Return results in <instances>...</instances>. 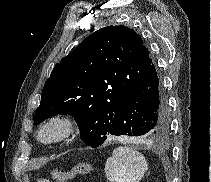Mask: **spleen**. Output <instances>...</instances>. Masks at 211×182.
<instances>
[{"label":"spleen","instance_id":"spleen-1","mask_svg":"<svg viewBox=\"0 0 211 182\" xmlns=\"http://www.w3.org/2000/svg\"><path fill=\"white\" fill-rule=\"evenodd\" d=\"M147 169V161L140 152L119 146L106 161L105 177L109 182H139Z\"/></svg>","mask_w":211,"mask_h":182}]
</instances>
